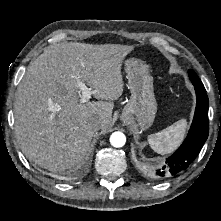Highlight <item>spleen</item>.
Segmentation results:
<instances>
[{
    "label": "spleen",
    "instance_id": "3e777b00",
    "mask_svg": "<svg viewBox=\"0 0 221 221\" xmlns=\"http://www.w3.org/2000/svg\"><path fill=\"white\" fill-rule=\"evenodd\" d=\"M187 121L181 119L165 129L148 136V143L158 154L171 153L185 136Z\"/></svg>",
    "mask_w": 221,
    "mask_h": 221
}]
</instances>
